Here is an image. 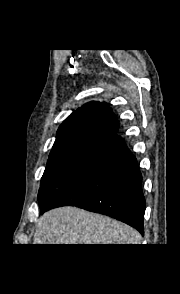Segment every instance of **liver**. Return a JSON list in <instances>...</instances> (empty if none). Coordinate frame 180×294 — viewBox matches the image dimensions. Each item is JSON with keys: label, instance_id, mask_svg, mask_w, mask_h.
<instances>
[{"label": "liver", "instance_id": "obj_1", "mask_svg": "<svg viewBox=\"0 0 180 294\" xmlns=\"http://www.w3.org/2000/svg\"><path fill=\"white\" fill-rule=\"evenodd\" d=\"M135 229L76 207L46 212L36 225L34 244H140Z\"/></svg>", "mask_w": 180, "mask_h": 294}]
</instances>
